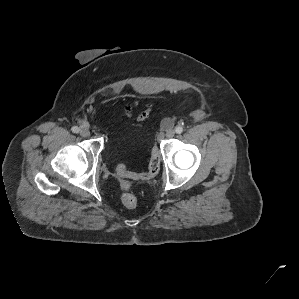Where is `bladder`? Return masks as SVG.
Segmentation results:
<instances>
[{"mask_svg":"<svg viewBox=\"0 0 299 299\" xmlns=\"http://www.w3.org/2000/svg\"><path fill=\"white\" fill-rule=\"evenodd\" d=\"M116 134L119 135V134H121V132L117 131ZM139 141H141L139 138L130 139V143H132V144L139 143ZM111 143H113V142H110V144H109L110 147H111Z\"/></svg>","mask_w":299,"mask_h":299,"instance_id":"bladder-1","label":"bladder"}]
</instances>
